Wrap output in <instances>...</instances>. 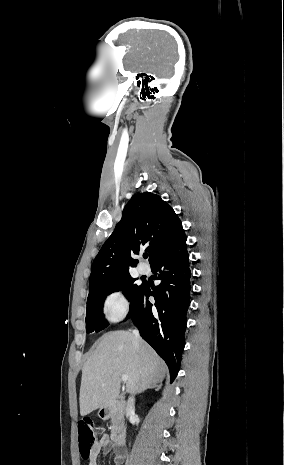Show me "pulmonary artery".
<instances>
[{
  "mask_svg": "<svg viewBox=\"0 0 284 465\" xmlns=\"http://www.w3.org/2000/svg\"><path fill=\"white\" fill-rule=\"evenodd\" d=\"M146 271H147V268H146L143 264L139 263V264L137 265V272H138L139 274H141V275H142V274H145Z\"/></svg>",
  "mask_w": 284,
  "mask_h": 465,
  "instance_id": "1",
  "label": "pulmonary artery"
}]
</instances>
